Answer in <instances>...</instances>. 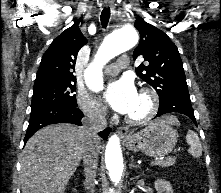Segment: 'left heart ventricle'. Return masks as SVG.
I'll return each instance as SVG.
<instances>
[{
    "label": "left heart ventricle",
    "instance_id": "b2bd125f",
    "mask_svg": "<svg viewBox=\"0 0 221 193\" xmlns=\"http://www.w3.org/2000/svg\"><path fill=\"white\" fill-rule=\"evenodd\" d=\"M148 108V101L145 97L138 95V99L129 114L130 117H138L145 113Z\"/></svg>",
    "mask_w": 221,
    "mask_h": 193
}]
</instances>
